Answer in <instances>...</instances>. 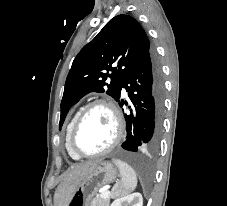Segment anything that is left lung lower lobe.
<instances>
[{"instance_id":"1","label":"left lung lower lobe","mask_w":227,"mask_h":206,"mask_svg":"<svg viewBox=\"0 0 227 206\" xmlns=\"http://www.w3.org/2000/svg\"><path fill=\"white\" fill-rule=\"evenodd\" d=\"M123 87L130 99V112L124 114L127 139L122 148L132 152L154 151L162 128L164 82L153 50L124 78ZM118 102L124 105L120 97Z\"/></svg>"}]
</instances>
